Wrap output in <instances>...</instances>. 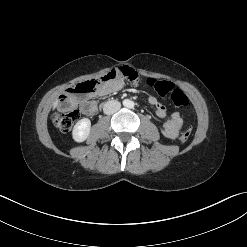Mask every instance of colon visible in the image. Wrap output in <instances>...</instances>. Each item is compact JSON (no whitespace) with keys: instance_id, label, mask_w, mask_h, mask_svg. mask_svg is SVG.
Masks as SVG:
<instances>
[{"instance_id":"obj_1","label":"colon","mask_w":247,"mask_h":247,"mask_svg":"<svg viewBox=\"0 0 247 247\" xmlns=\"http://www.w3.org/2000/svg\"><path fill=\"white\" fill-rule=\"evenodd\" d=\"M120 73L117 70L111 71L105 76L101 77L99 81H86L75 86H72L68 90V94L63 95L59 101L57 110L52 115V121L54 125L62 132H68L74 123L79 118V112L75 108L76 96L78 95H90L97 91L100 84H104L118 77ZM122 74L131 82H137V75L129 72H122ZM148 84L160 95H169L173 104L177 107H184L188 105L189 100L186 94L177 88H174L173 84L167 81H157L155 79H149ZM191 128L185 130L181 136L180 141L185 142L191 135Z\"/></svg>"}]
</instances>
